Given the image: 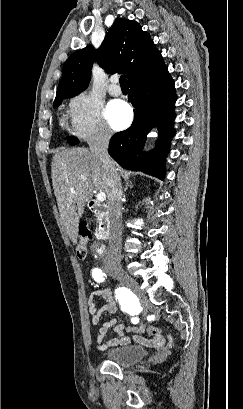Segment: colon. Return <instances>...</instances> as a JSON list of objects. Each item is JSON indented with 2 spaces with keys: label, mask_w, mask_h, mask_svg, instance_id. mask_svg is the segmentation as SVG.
<instances>
[{
  "label": "colon",
  "mask_w": 243,
  "mask_h": 409,
  "mask_svg": "<svg viewBox=\"0 0 243 409\" xmlns=\"http://www.w3.org/2000/svg\"><path fill=\"white\" fill-rule=\"evenodd\" d=\"M79 232L81 235V241L76 248V254L80 259H82L86 255L85 240L92 238V233L86 224L80 225Z\"/></svg>",
  "instance_id": "1"
}]
</instances>
